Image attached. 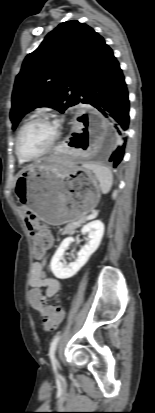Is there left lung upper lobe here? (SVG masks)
Wrapping results in <instances>:
<instances>
[{
	"mask_svg": "<svg viewBox=\"0 0 155 413\" xmlns=\"http://www.w3.org/2000/svg\"><path fill=\"white\" fill-rule=\"evenodd\" d=\"M105 40L90 26L66 21L26 56L17 75L10 119L15 129L29 111L42 106L63 113L81 100L86 79L100 61Z\"/></svg>",
	"mask_w": 155,
	"mask_h": 413,
	"instance_id": "1",
	"label": "left lung upper lobe"
}]
</instances>
